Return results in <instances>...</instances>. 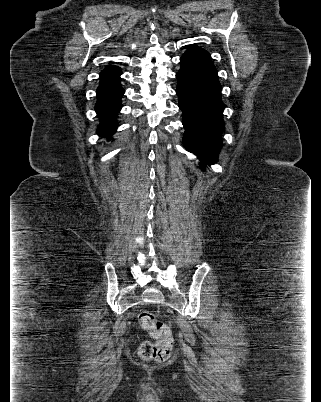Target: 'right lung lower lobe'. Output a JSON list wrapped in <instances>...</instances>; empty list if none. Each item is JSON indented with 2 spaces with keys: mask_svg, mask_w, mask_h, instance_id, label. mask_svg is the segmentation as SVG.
Masks as SVG:
<instances>
[{
  "mask_svg": "<svg viewBox=\"0 0 321 402\" xmlns=\"http://www.w3.org/2000/svg\"><path fill=\"white\" fill-rule=\"evenodd\" d=\"M121 70L117 66H107L100 72L95 111L100 119L97 134L110 138L117 129L116 116L121 109L124 89L120 84Z\"/></svg>",
  "mask_w": 321,
  "mask_h": 402,
  "instance_id": "1",
  "label": "right lung lower lobe"
}]
</instances>
